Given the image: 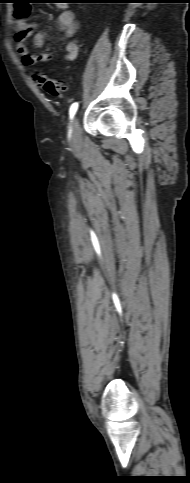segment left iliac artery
<instances>
[{
    "instance_id": "obj_1",
    "label": "left iliac artery",
    "mask_w": 190,
    "mask_h": 483,
    "mask_svg": "<svg viewBox=\"0 0 190 483\" xmlns=\"http://www.w3.org/2000/svg\"><path fill=\"white\" fill-rule=\"evenodd\" d=\"M77 109H78V103L75 102L71 105L70 110H69L70 119H73Z\"/></svg>"
}]
</instances>
